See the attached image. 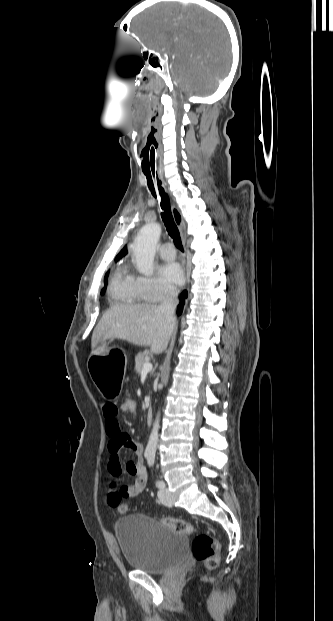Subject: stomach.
I'll return each mask as SVG.
<instances>
[{
	"instance_id": "stomach-1",
	"label": "stomach",
	"mask_w": 333,
	"mask_h": 621,
	"mask_svg": "<svg viewBox=\"0 0 333 621\" xmlns=\"http://www.w3.org/2000/svg\"><path fill=\"white\" fill-rule=\"evenodd\" d=\"M128 358L124 344L119 340L104 341L88 355L91 379L101 396L119 400L124 390V371Z\"/></svg>"
}]
</instances>
